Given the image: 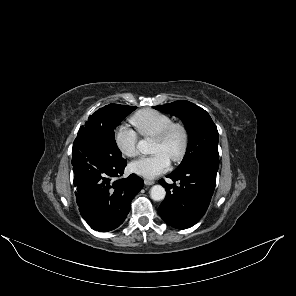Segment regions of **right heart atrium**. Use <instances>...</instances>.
Instances as JSON below:
<instances>
[{
	"mask_svg": "<svg viewBox=\"0 0 296 296\" xmlns=\"http://www.w3.org/2000/svg\"><path fill=\"white\" fill-rule=\"evenodd\" d=\"M114 142L118 150L127 157L138 155V135L128 125L122 124L115 130Z\"/></svg>",
	"mask_w": 296,
	"mask_h": 296,
	"instance_id": "1",
	"label": "right heart atrium"
}]
</instances>
